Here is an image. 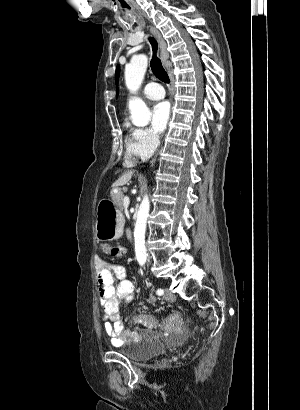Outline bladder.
<instances>
[{
	"label": "bladder",
	"instance_id": "bladder-1",
	"mask_svg": "<svg viewBox=\"0 0 300 410\" xmlns=\"http://www.w3.org/2000/svg\"><path fill=\"white\" fill-rule=\"evenodd\" d=\"M163 351H165V345L162 342L154 341L144 343L140 341L132 347L125 349L124 354L132 362L140 363Z\"/></svg>",
	"mask_w": 300,
	"mask_h": 410
}]
</instances>
